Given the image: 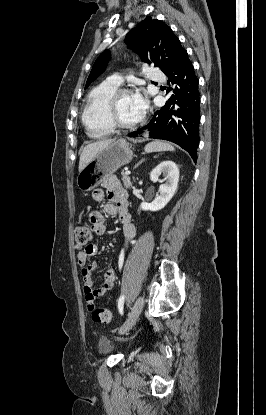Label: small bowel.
I'll return each instance as SVG.
<instances>
[{
  "label": "small bowel",
  "instance_id": "obj_1",
  "mask_svg": "<svg viewBox=\"0 0 266 415\" xmlns=\"http://www.w3.org/2000/svg\"><path fill=\"white\" fill-rule=\"evenodd\" d=\"M105 196L108 197L109 202L105 204L104 211L110 216L117 217L123 225V234L125 238L124 250L136 235V228L131 221V216L128 212L127 193L120 181L115 176L106 178L103 188H98L93 191L92 198L95 201H103ZM89 221L93 232L102 235L106 232L104 215L98 211L93 210L89 214ZM98 253V247L95 244H88L84 249L76 254L77 265L81 268V276L83 280V289L85 300L90 310L94 307V302L114 288L117 279V272L113 269L107 270L104 274V284L101 288H94L92 273L96 269V262L87 263L88 259L94 257Z\"/></svg>",
  "mask_w": 266,
  "mask_h": 415
}]
</instances>
